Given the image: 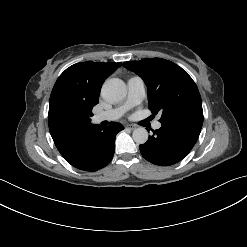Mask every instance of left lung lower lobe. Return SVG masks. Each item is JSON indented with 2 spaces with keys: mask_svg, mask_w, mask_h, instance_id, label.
Segmentation results:
<instances>
[{
  "mask_svg": "<svg viewBox=\"0 0 247 247\" xmlns=\"http://www.w3.org/2000/svg\"><path fill=\"white\" fill-rule=\"evenodd\" d=\"M201 128L182 123H164L153 130L145 144L139 146L142 156L149 162L170 166L182 160L195 145Z\"/></svg>",
  "mask_w": 247,
  "mask_h": 247,
  "instance_id": "obj_1",
  "label": "left lung lower lobe"
}]
</instances>
